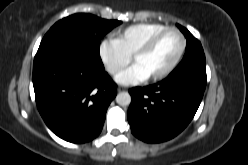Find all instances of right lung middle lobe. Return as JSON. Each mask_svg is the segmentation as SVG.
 <instances>
[{
	"label": "right lung middle lobe",
	"instance_id": "right-lung-middle-lobe-1",
	"mask_svg": "<svg viewBox=\"0 0 248 165\" xmlns=\"http://www.w3.org/2000/svg\"><path fill=\"white\" fill-rule=\"evenodd\" d=\"M119 24L121 21L118 20H105L84 13L74 14L55 23L42 39L38 50L64 43L81 45L102 65L100 39Z\"/></svg>",
	"mask_w": 248,
	"mask_h": 165
}]
</instances>
